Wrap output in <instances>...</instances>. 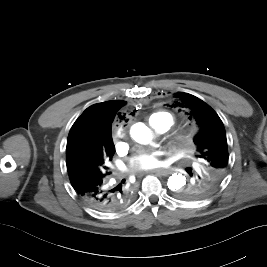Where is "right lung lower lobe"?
I'll return each mask as SVG.
<instances>
[{
	"label": "right lung lower lobe",
	"instance_id": "1",
	"mask_svg": "<svg viewBox=\"0 0 267 267\" xmlns=\"http://www.w3.org/2000/svg\"><path fill=\"white\" fill-rule=\"evenodd\" d=\"M77 194L92 208L103 212H117L127 207L133 194L129 188L110 186L108 177L85 178L72 183Z\"/></svg>",
	"mask_w": 267,
	"mask_h": 267
}]
</instances>
